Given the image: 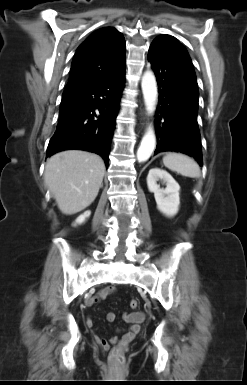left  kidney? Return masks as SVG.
Returning a JSON list of instances; mask_svg holds the SVG:
<instances>
[{
  "mask_svg": "<svg viewBox=\"0 0 247 385\" xmlns=\"http://www.w3.org/2000/svg\"><path fill=\"white\" fill-rule=\"evenodd\" d=\"M161 179L166 183V188L161 189L157 181ZM147 185L150 192L154 193L158 210L168 217L177 214L180 205V186L165 170L152 168L147 176Z\"/></svg>",
  "mask_w": 247,
  "mask_h": 385,
  "instance_id": "5707ae66",
  "label": "left kidney"
}]
</instances>
